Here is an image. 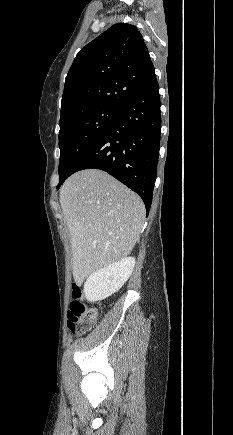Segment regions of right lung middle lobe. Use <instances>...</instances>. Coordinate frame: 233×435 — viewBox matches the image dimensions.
I'll return each instance as SVG.
<instances>
[{
	"label": "right lung middle lobe",
	"instance_id": "right-lung-middle-lobe-1",
	"mask_svg": "<svg viewBox=\"0 0 233 435\" xmlns=\"http://www.w3.org/2000/svg\"><path fill=\"white\" fill-rule=\"evenodd\" d=\"M121 108L101 106L60 122L59 176L66 175L75 162L100 138Z\"/></svg>",
	"mask_w": 233,
	"mask_h": 435
}]
</instances>
